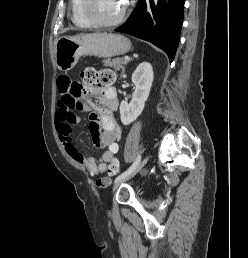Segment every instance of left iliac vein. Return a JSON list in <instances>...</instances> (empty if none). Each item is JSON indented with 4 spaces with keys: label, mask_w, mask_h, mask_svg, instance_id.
Returning a JSON list of instances; mask_svg holds the SVG:
<instances>
[{
    "label": "left iliac vein",
    "mask_w": 248,
    "mask_h": 258,
    "mask_svg": "<svg viewBox=\"0 0 248 258\" xmlns=\"http://www.w3.org/2000/svg\"><path fill=\"white\" fill-rule=\"evenodd\" d=\"M149 157H146L143 159V161L136 167V169H134L129 175H127L125 178L121 179L120 181H118L117 183H115V185L113 186V192H115L119 186L130 180L131 178H133L139 171L142 170V168L146 165V163L148 162Z\"/></svg>",
    "instance_id": "1"
}]
</instances>
